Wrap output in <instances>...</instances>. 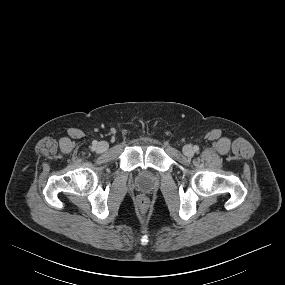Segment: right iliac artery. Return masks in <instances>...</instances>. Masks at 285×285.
Segmentation results:
<instances>
[{"label":"right iliac artery","mask_w":285,"mask_h":285,"mask_svg":"<svg viewBox=\"0 0 285 285\" xmlns=\"http://www.w3.org/2000/svg\"><path fill=\"white\" fill-rule=\"evenodd\" d=\"M96 145H97V142H96V141H94V142H93V146L95 147Z\"/></svg>","instance_id":"obj_1"}]
</instances>
